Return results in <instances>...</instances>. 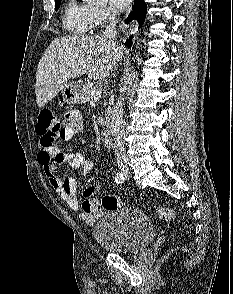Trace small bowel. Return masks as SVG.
Returning <instances> with one entry per match:
<instances>
[{
  "label": "small bowel",
  "instance_id": "obj_1",
  "mask_svg": "<svg viewBox=\"0 0 233 294\" xmlns=\"http://www.w3.org/2000/svg\"><path fill=\"white\" fill-rule=\"evenodd\" d=\"M61 125L64 131L59 136V139L62 141L71 140L84 129L82 115L77 110L67 112L66 121H62ZM38 160L44 169L50 186L56 194L70 209L78 211L81 208L80 216L88 224L95 223L102 214L100 202L93 198L100 190V186H88L83 192L85 200L80 206L77 198V179L75 177L62 179L58 169L61 165H67L71 168L81 169V173L86 174L93 168V162L88 160L81 152L63 153L57 147L41 150Z\"/></svg>",
  "mask_w": 233,
  "mask_h": 294
}]
</instances>
